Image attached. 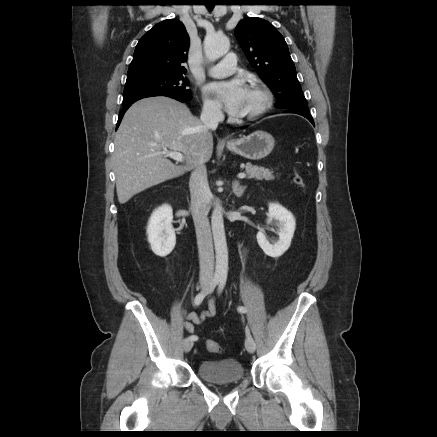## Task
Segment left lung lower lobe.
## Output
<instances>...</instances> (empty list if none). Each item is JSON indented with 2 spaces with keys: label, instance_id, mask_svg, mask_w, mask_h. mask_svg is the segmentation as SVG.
<instances>
[{
  "label": "left lung lower lobe",
  "instance_id": "0a47b994",
  "mask_svg": "<svg viewBox=\"0 0 437 437\" xmlns=\"http://www.w3.org/2000/svg\"><path fill=\"white\" fill-rule=\"evenodd\" d=\"M285 113H296V114L302 115L305 118H307L315 126L313 118L310 115V113H306V112H302V111H297V110H288V111H285Z\"/></svg>",
  "mask_w": 437,
  "mask_h": 437
}]
</instances>
